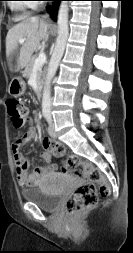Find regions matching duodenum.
<instances>
[{
	"label": "duodenum",
	"mask_w": 133,
	"mask_h": 253,
	"mask_svg": "<svg viewBox=\"0 0 133 253\" xmlns=\"http://www.w3.org/2000/svg\"><path fill=\"white\" fill-rule=\"evenodd\" d=\"M37 94L39 95L38 100H41V97H42V94H43V91H42V83H39V85H38Z\"/></svg>",
	"instance_id": "duodenum-1"
}]
</instances>
